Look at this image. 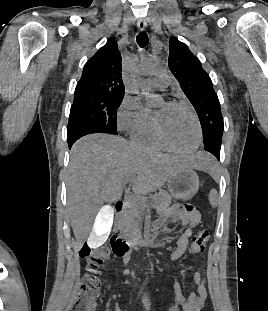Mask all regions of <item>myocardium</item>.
<instances>
[{
  "label": "myocardium",
  "mask_w": 268,
  "mask_h": 311,
  "mask_svg": "<svg viewBox=\"0 0 268 311\" xmlns=\"http://www.w3.org/2000/svg\"><path fill=\"white\" fill-rule=\"evenodd\" d=\"M168 104L171 105V106H176V107L185 109L186 111H188L191 114V116H192V118H193V120L195 122L196 129H197V140H196V143L189 150H182V149L174 146L173 144H171L166 139V137L164 136V134L162 132V129H161V126H160V123H159V120L156 117V115L154 114L153 121H154L155 133H156L158 139L160 140V142L166 148H168V149H170L172 151H175L177 153L183 154V155L193 154L194 152H196L198 150V148L200 147V145L202 143L203 133H202V127H201L200 120H199L196 112L190 106L186 105L185 103H182V102H179V101H171V102H168Z\"/></svg>",
  "instance_id": "obj_1"
}]
</instances>
